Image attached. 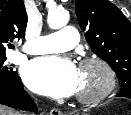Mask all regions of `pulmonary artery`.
Segmentation results:
<instances>
[{
  "label": "pulmonary artery",
  "instance_id": "obj_1",
  "mask_svg": "<svg viewBox=\"0 0 131 115\" xmlns=\"http://www.w3.org/2000/svg\"><path fill=\"white\" fill-rule=\"evenodd\" d=\"M78 32L67 26L61 30L38 37L24 44L22 50L28 54H46L70 50L78 43Z\"/></svg>",
  "mask_w": 131,
  "mask_h": 115
}]
</instances>
